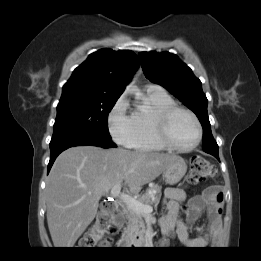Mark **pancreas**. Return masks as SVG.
Instances as JSON below:
<instances>
[{
	"instance_id": "obj_1",
	"label": "pancreas",
	"mask_w": 261,
	"mask_h": 261,
	"mask_svg": "<svg viewBox=\"0 0 261 261\" xmlns=\"http://www.w3.org/2000/svg\"><path fill=\"white\" fill-rule=\"evenodd\" d=\"M161 197V187L158 184H152L146 192L138 196L137 200L148 205H157ZM123 213L127 219V226L124 228L122 238L133 244L141 242L145 235V225L142 214L129 208L124 203ZM137 237L139 239H137Z\"/></svg>"
}]
</instances>
